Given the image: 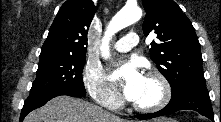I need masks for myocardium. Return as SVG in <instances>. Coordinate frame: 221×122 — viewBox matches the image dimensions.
Returning <instances> with one entry per match:
<instances>
[{
    "label": "myocardium",
    "instance_id": "1",
    "mask_svg": "<svg viewBox=\"0 0 221 122\" xmlns=\"http://www.w3.org/2000/svg\"><path fill=\"white\" fill-rule=\"evenodd\" d=\"M146 77L154 79L158 82L161 89L160 98L155 103L150 105H140L135 102H131V106L134 110L142 113L156 112L164 108L170 102L172 96V88L166 76L162 74L160 71L157 70L148 71L146 73Z\"/></svg>",
    "mask_w": 221,
    "mask_h": 122
}]
</instances>
